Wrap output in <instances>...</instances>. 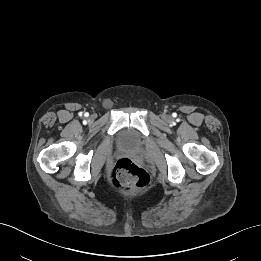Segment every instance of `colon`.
<instances>
[{
  "instance_id": "5ec220e1",
  "label": "colon",
  "mask_w": 261,
  "mask_h": 261,
  "mask_svg": "<svg viewBox=\"0 0 261 261\" xmlns=\"http://www.w3.org/2000/svg\"><path fill=\"white\" fill-rule=\"evenodd\" d=\"M113 186L122 192H128L145 187L149 177L145 170L130 158L118 159L110 174Z\"/></svg>"
}]
</instances>
